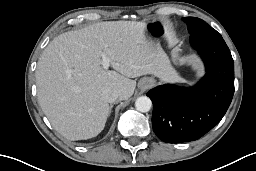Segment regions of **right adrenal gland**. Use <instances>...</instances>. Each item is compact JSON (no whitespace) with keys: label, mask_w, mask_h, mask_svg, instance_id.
<instances>
[{"label":"right adrenal gland","mask_w":256,"mask_h":171,"mask_svg":"<svg viewBox=\"0 0 256 171\" xmlns=\"http://www.w3.org/2000/svg\"><path fill=\"white\" fill-rule=\"evenodd\" d=\"M112 107H113V105H111V106L109 107V114H108V116H109L110 113H111Z\"/></svg>","instance_id":"1"}]
</instances>
